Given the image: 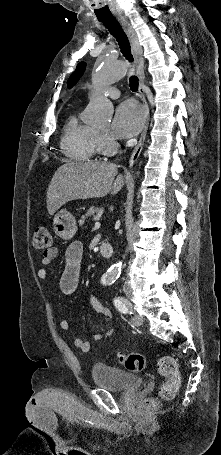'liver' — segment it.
<instances>
[{
  "label": "liver",
  "mask_w": 221,
  "mask_h": 455,
  "mask_svg": "<svg viewBox=\"0 0 221 455\" xmlns=\"http://www.w3.org/2000/svg\"><path fill=\"white\" fill-rule=\"evenodd\" d=\"M117 173L118 167L113 163L66 162L57 169L48 186V213L53 215L72 200L117 194L125 183L123 175Z\"/></svg>",
  "instance_id": "6515ba94"
}]
</instances>
